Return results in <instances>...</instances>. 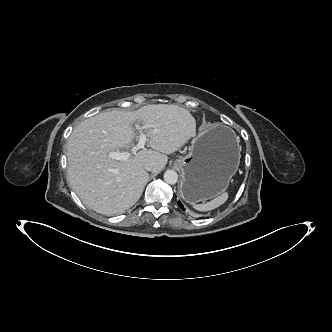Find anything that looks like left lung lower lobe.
<instances>
[{
	"instance_id": "1",
	"label": "left lung lower lobe",
	"mask_w": 332,
	"mask_h": 332,
	"mask_svg": "<svg viewBox=\"0 0 332 332\" xmlns=\"http://www.w3.org/2000/svg\"><path fill=\"white\" fill-rule=\"evenodd\" d=\"M178 205H179V207H180L181 209L185 210L184 207H183V205H182V203H181L180 201L178 202Z\"/></svg>"
}]
</instances>
